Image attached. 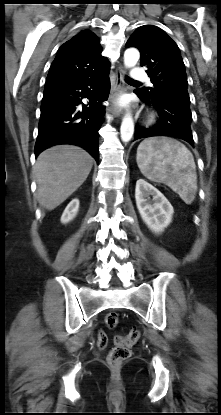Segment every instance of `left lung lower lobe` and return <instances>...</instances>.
<instances>
[{"instance_id": "obj_1", "label": "left lung lower lobe", "mask_w": 221, "mask_h": 415, "mask_svg": "<svg viewBox=\"0 0 221 415\" xmlns=\"http://www.w3.org/2000/svg\"><path fill=\"white\" fill-rule=\"evenodd\" d=\"M135 93L146 104H152L156 108L159 120L156 125L150 128L137 126L134 140L154 136H170L183 139L194 146L190 127L192 120L190 100L178 97L150 98L139 89L135 90Z\"/></svg>"}]
</instances>
